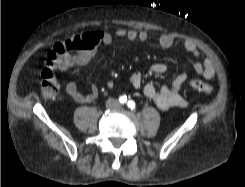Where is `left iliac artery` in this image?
Instances as JSON below:
<instances>
[{
	"label": "left iliac artery",
	"mask_w": 245,
	"mask_h": 187,
	"mask_svg": "<svg viewBox=\"0 0 245 187\" xmlns=\"http://www.w3.org/2000/svg\"><path fill=\"white\" fill-rule=\"evenodd\" d=\"M127 106H128L131 110H133V109L135 108V102L132 101V100H129L128 103H127Z\"/></svg>",
	"instance_id": "44dca946"
}]
</instances>
